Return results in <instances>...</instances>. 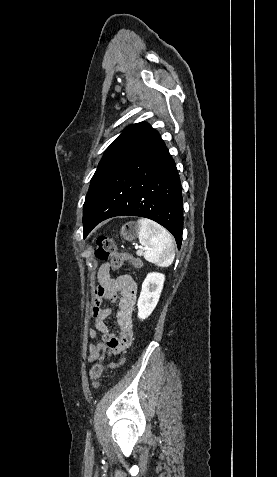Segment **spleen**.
Masks as SVG:
<instances>
[{
	"mask_svg": "<svg viewBox=\"0 0 277 477\" xmlns=\"http://www.w3.org/2000/svg\"><path fill=\"white\" fill-rule=\"evenodd\" d=\"M138 238L144 246V258L160 267H168L175 257V242L170 233L156 222L138 220Z\"/></svg>",
	"mask_w": 277,
	"mask_h": 477,
	"instance_id": "spleen-1",
	"label": "spleen"
}]
</instances>
